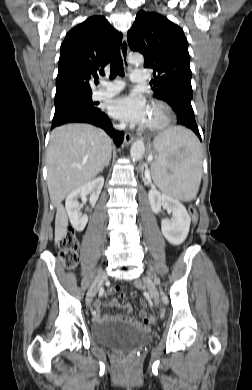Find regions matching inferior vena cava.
Listing matches in <instances>:
<instances>
[{
  "mask_svg": "<svg viewBox=\"0 0 252 390\" xmlns=\"http://www.w3.org/2000/svg\"><path fill=\"white\" fill-rule=\"evenodd\" d=\"M116 128L119 129V130H124L125 129V124L117 125Z\"/></svg>",
  "mask_w": 252,
  "mask_h": 390,
  "instance_id": "602c4592",
  "label": "inferior vena cava"
}]
</instances>
